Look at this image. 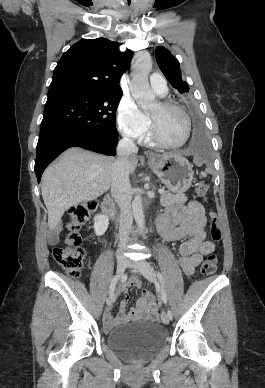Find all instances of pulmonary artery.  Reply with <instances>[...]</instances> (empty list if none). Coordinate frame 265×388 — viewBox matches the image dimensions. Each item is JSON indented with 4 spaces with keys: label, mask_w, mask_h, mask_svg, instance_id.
<instances>
[{
    "label": "pulmonary artery",
    "mask_w": 265,
    "mask_h": 388,
    "mask_svg": "<svg viewBox=\"0 0 265 388\" xmlns=\"http://www.w3.org/2000/svg\"><path fill=\"white\" fill-rule=\"evenodd\" d=\"M150 81L153 83L155 90H168L169 84L165 82L162 75H151Z\"/></svg>",
    "instance_id": "obj_1"
}]
</instances>
